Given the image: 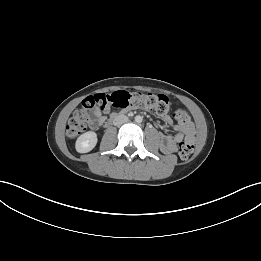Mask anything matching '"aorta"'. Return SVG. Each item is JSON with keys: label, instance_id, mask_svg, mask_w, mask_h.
<instances>
[{"label": "aorta", "instance_id": "aorta-1", "mask_svg": "<svg viewBox=\"0 0 261 261\" xmlns=\"http://www.w3.org/2000/svg\"><path fill=\"white\" fill-rule=\"evenodd\" d=\"M142 120H143V117L140 116V115H137V116L135 117V121H136L137 123H141Z\"/></svg>", "mask_w": 261, "mask_h": 261}]
</instances>
